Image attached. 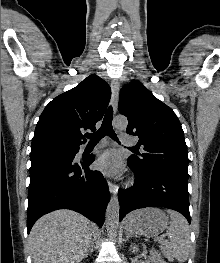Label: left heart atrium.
<instances>
[{"mask_svg":"<svg viewBox=\"0 0 220 263\" xmlns=\"http://www.w3.org/2000/svg\"><path fill=\"white\" fill-rule=\"evenodd\" d=\"M97 168L107 175H118L122 171V160L116 151H107L99 156Z\"/></svg>","mask_w":220,"mask_h":263,"instance_id":"left-heart-atrium-1","label":"left heart atrium"}]
</instances>
